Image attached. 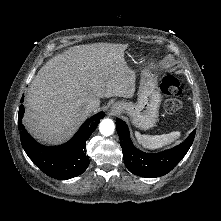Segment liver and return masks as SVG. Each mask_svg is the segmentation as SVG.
Wrapping results in <instances>:
<instances>
[{"instance_id": "1", "label": "liver", "mask_w": 221, "mask_h": 221, "mask_svg": "<svg viewBox=\"0 0 221 221\" xmlns=\"http://www.w3.org/2000/svg\"><path fill=\"white\" fill-rule=\"evenodd\" d=\"M127 44L74 46L50 59L30 84L23 123L48 144L68 139L89 116V101L131 98L135 73L124 58Z\"/></svg>"}]
</instances>
